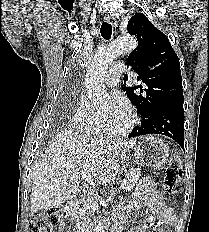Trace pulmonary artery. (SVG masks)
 Segmentation results:
<instances>
[{
    "mask_svg": "<svg viewBox=\"0 0 209 232\" xmlns=\"http://www.w3.org/2000/svg\"><path fill=\"white\" fill-rule=\"evenodd\" d=\"M126 71V67L121 62H116L111 65L106 77L105 83L108 86H115L120 80V76Z\"/></svg>",
    "mask_w": 209,
    "mask_h": 232,
    "instance_id": "e3ab8cb5",
    "label": "pulmonary artery"
}]
</instances>
